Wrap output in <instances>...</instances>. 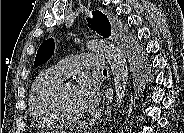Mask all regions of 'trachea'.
Listing matches in <instances>:
<instances>
[{
  "mask_svg": "<svg viewBox=\"0 0 184 133\" xmlns=\"http://www.w3.org/2000/svg\"><path fill=\"white\" fill-rule=\"evenodd\" d=\"M103 72H107V69H104Z\"/></svg>",
  "mask_w": 184,
  "mask_h": 133,
  "instance_id": "obj_1",
  "label": "trachea"
}]
</instances>
